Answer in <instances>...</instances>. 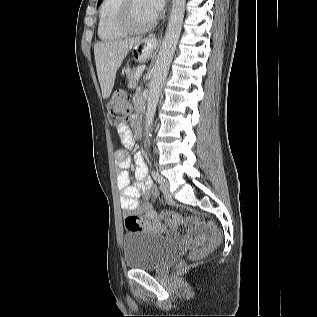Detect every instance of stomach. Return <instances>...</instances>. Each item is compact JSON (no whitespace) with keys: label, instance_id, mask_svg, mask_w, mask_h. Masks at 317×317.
Here are the masks:
<instances>
[{"label":"stomach","instance_id":"obj_1","mask_svg":"<svg viewBox=\"0 0 317 317\" xmlns=\"http://www.w3.org/2000/svg\"><path fill=\"white\" fill-rule=\"evenodd\" d=\"M129 70L128 68H121L120 72H116L115 77L118 79L116 81L115 86L120 88H127V77H128Z\"/></svg>","mask_w":317,"mask_h":317}]
</instances>
